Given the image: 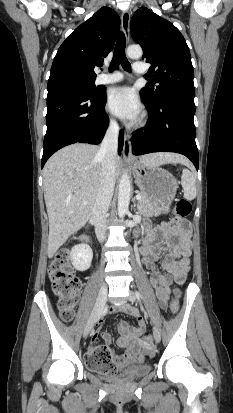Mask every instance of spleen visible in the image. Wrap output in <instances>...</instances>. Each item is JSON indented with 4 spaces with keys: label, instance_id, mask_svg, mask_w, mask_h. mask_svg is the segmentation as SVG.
Instances as JSON below:
<instances>
[{
    "label": "spleen",
    "instance_id": "3e777b00",
    "mask_svg": "<svg viewBox=\"0 0 233 413\" xmlns=\"http://www.w3.org/2000/svg\"><path fill=\"white\" fill-rule=\"evenodd\" d=\"M181 185L185 198L187 200H193L196 197V178L194 174L186 168L182 170Z\"/></svg>",
    "mask_w": 233,
    "mask_h": 413
}]
</instances>
